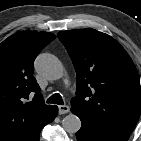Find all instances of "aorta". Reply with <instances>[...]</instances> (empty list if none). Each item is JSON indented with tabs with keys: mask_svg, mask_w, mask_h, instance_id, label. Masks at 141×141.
<instances>
[{
	"mask_svg": "<svg viewBox=\"0 0 141 141\" xmlns=\"http://www.w3.org/2000/svg\"><path fill=\"white\" fill-rule=\"evenodd\" d=\"M36 71L48 80H58L64 75L61 61L52 54L41 53L35 60ZM62 126L68 133H76L81 128V120L75 114H69L62 120Z\"/></svg>",
	"mask_w": 141,
	"mask_h": 141,
	"instance_id": "762f6f07",
	"label": "aorta"
}]
</instances>
